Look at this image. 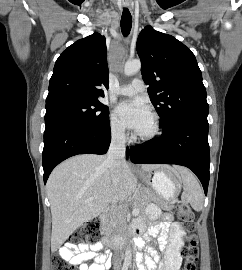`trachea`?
I'll return each mask as SVG.
<instances>
[{"instance_id": "obj_1", "label": "trachea", "mask_w": 242, "mask_h": 270, "mask_svg": "<svg viewBox=\"0 0 242 270\" xmlns=\"http://www.w3.org/2000/svg\"><path fill=\"white\" fill-rule=\"evenodd\" d=\"M131 27H132V16L129 10L127 8H124L121 17V31L125 37L129 35Z\"/></svg>"}]
</instances>
